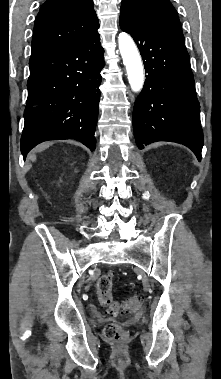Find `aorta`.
<instances>
[{"label":"aorta","mask_w":221,"mask_h":379,"mask_svg":"<svg viewBox=\"0 0 221 379\" xmlns=\"http://www.w3.org/2000/svg\"><path fill=\"white\" fill-rule=\"evenodd\" d=\"M118 45L131 89L140 92L144 84V72L139 51L131 36L125 32L119 34Z\"/></svg>","instance_id":"1"}]
</instances>
